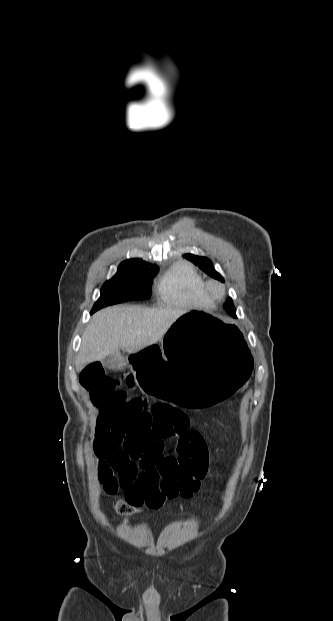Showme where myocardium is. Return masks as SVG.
Here are the masks:
<instances>
[{"instance_id": "obj_1", "label": "myocardium", "mask_w": 333, "mask_h": 621, "mask_svg": "<svg viewBox=\"0 0 333 621\" xmlns=\"http://www.w3.org/2000/svg\"><path fill=\"white\" fill-rule=\"evenodd\" d=\"M205 289L213 302L223 299L226 294V287L219 280H210L206 282Z\"/></svg>"}]
</instances>
